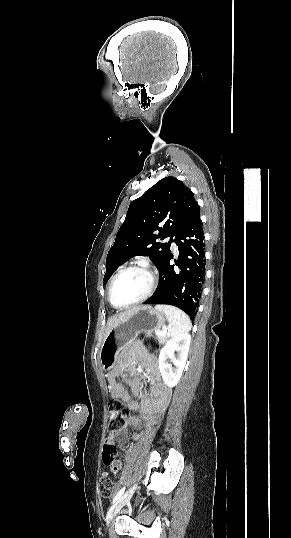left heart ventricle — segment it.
<instances>
[{
    "instance_id": "b2bd125f",
    "label": "left heart ventricle",
    "mask_w": 291,
    "mask_h": 538,
    "mask_svg": "<svg viewBox=\"0 0 291 538\" xmlns=\"http://www.w3.org/2000/svg\"><path fill=\"white\" fill-rule=\"evenodd\" d=\"M150 279L139 270H132L120 275L113 286L112 299L118 305L128 304L146 293Z\"/></svg>"
}]
</instances>
